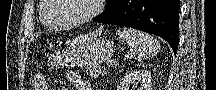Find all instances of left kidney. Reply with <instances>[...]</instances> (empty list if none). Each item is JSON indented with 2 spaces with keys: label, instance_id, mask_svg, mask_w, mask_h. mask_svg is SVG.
<instances>
[{
  "label": "left kidney",
  "instance_id": "left-kidney-1",
  "mask_svg": "<svg viewBox=\"0 0 216 90\" xmlns=\"http://www.w3.org/2000/svg\"><path fill=\"white\" fill-rule=\"evenodd\" d=\"M117 90H151V72L136 70L120 80Z\"/></svg>",
  "mask_w": 216,
  "mask_h": 90
}]
</instances>
